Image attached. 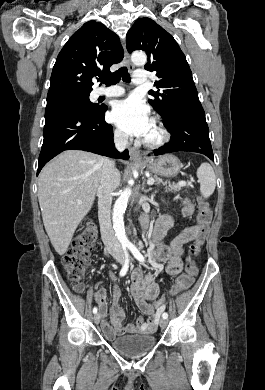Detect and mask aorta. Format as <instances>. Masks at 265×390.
Here are the masks:
<instances>
[{
	"label": "aorta",
	"instance_id": "aorta-1",
	"mask_svg": "<svg viewBox=\"0 0 265 390\" xmlns=\"http://www.w3.org/2000/svg\"><path fill=\"white\" fill-rule=\"evenodd\" d=\"M131 61L137 66H142L146 63L147 57L143 52H134L131 56ZM131 188H125L115 202L112 214L113 229L115 236L122 246H128L130 244L124 226V213L127 207L128 200L131 196Z\"/></svg>",
	"mask_w": 265,
	"mask_h": 390
}]
</instances>
